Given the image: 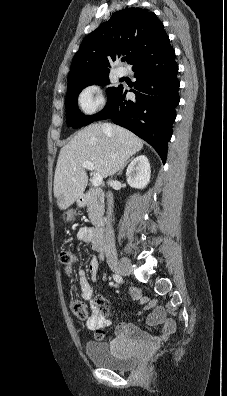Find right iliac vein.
Masks as SVG:
<instances>
[{"mask_svg": "<svg viewBox=\"0 0 227 396\" xmlns=\"http://www.w3.org/2000/svg\"><path fill=\"white\" fill-rule=\"evenodd\" d=\"M109 265L119 275L126 276L129 274V265L126 260H112Z\"/></svg>", "mask_w": 227, "mask_h": 396, "instance_id": "63e3f726", "label": "right iliac vein"}]
</instances>
